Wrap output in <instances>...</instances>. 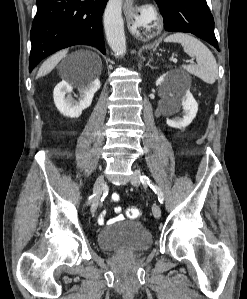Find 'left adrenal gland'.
<instances>
[{
    "instance_id": "left-adrenal-gland-1",
    "label": "left adrenal gland",
    "mask_w": 247,
    "mask_h": 299,
    "mask_svg": "<svg viewBox=\"0 0 247 299\" xmlns=\"http://www.w3.org/2000/svg\"><path fill=\"white\" fill-rule=\"evenodd\" d=\"M150 62H151V60H149V61L146 63V66H149L151 69H154V68L150 65Z\"/></svg>"
}]
</instances>
